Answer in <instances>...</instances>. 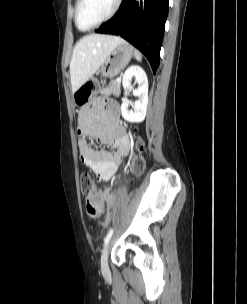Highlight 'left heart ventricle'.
I'll return each mask as SVG.
<instances>
[{
	"label": "left heart ventricle",
	"instance_id": "left-heart-ventricle-1",
	"mask_svg": "<svg viewBox=\"0 0 247 304\" xmlns=\"http://www.w3.org/2000/svg\"><path fill=\"white\" fill-rule=\"evenodd\" d=\"M115 0H83L79 11V25L88 28L106 17L113 9Z\"/></svg>",
	"mask_w": 247,
	"mask_h": 304
}]
</instances>
